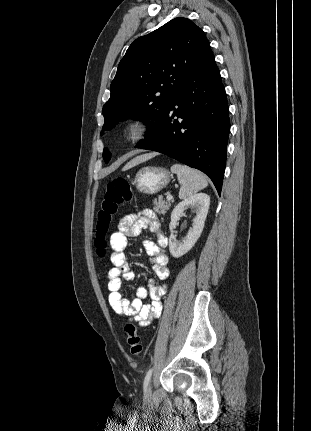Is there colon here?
I'll return each mask as SVG.
<instances>
[{
  "label": "colon",
  "instance_id": "obj_1",
  "mask_svg": "<svg viewBox=\"0 0 311 431\" xmlns=\"http://www.w3.org/2000/svg\"><path fill=\"white\" fill-rule=\"evenodd\" d=\"M132 195L131 186L125 178L116 177L107 182L97 214L95 246L99 255L105 253V237L115 216L119 212L120 206L130 201ZM125 332L131 354L139 356L142 351V345L136 326L133 323H127Z\"/></svg>",
  "mask_w": 311,
  "mask_h": 431
}]
</instances>
